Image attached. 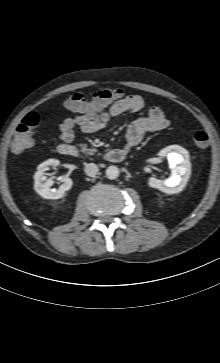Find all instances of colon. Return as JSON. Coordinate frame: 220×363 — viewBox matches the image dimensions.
Returning <instances> with one entry per match:
<instances>
[{
    "instance_id": "colon-1",
    "label": "colon",
    "mask_w": 220,
    "mask_h": 363,
    "mask_svg": "<svg viewBox=\"0 0 220 363\" xmlns=\"http://www.w3.org/2000/svg\"><path fill=\"white\" fill-rule=\"evenodd\" d=\"M125 90L121 88H108L94 92L90 97L82 93L72 94L65 102L66 106L74 111L82 110L87 100L94 99L100 105H108L125 96ZM40 117L36 112L28 113L18 124L12 139L11 148L14 152H23L31 148L35 139L33 131L37 128ZM194 141L199 147H207L209 136L205 131H197L194 134Z\"/></svg>"
}]
</instances>
